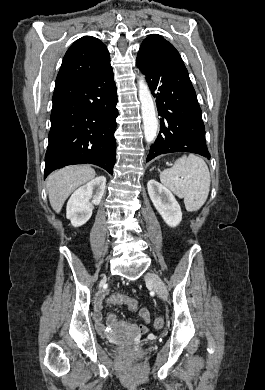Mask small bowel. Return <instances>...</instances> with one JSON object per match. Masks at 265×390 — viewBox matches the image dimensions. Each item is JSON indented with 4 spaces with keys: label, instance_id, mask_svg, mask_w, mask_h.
<instances>
[{
    "label": "small bowel",
    "instance_id": "obj_1",
    "mask_svg": "<svg viewBox=\"0 0 265 390\" xmlns=\"http://www.w3.org/2000/svg\"><path fill=\"white\" fill-rule=\"evenodd\" d=\"M101 310H102L101 300L98 299L96 301V303H95V318H96V322L99 325V327H102V324H101V319H102ZM138 315H139V318L143 321V323L141 325H139V326L132 327L131 329L134 330V331H137L139 333H146L147 330H148V323L150 321L149 311H148L147 308H141L139 310V312H138ZM108 319H109V322L112 323V324H116L117 323V317L114 314H110Z\"/></svg>",
    "mask_w": 265,
    "mask_h": 390
}]
</instances>
